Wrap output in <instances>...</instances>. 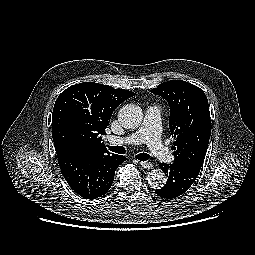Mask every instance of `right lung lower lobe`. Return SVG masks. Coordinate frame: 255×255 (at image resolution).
I'll use <instances>...</instances> for the list:
<instances>
[{
    "label": "right lung lower lobe",
    "instance_id": "98d812e1",
    "mask_svg": "<svg viewBox=\"0 0 255 255\" xmlns=\"http://www.w3.org/2000/svg\"><path fill=\"white\" fill-rule=\"evenodd\" d=\"M124 161L125 156L116 154L58 158L61 172L69 186L86 199L105 194L113 183L115 170Z\"/></svg>",
    "mask_w": 255,
    "mask_h": 255
}]
</instances>
